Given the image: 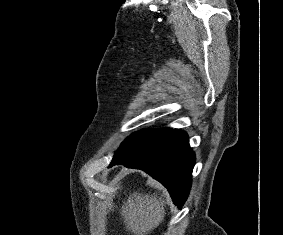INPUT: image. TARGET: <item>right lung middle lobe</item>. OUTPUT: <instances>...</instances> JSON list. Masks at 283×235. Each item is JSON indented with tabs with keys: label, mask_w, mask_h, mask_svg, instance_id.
<instances>
[{
	"label": "right lung middle lobe",
	"mask_w": 283,
	"mask_h": 235,
	"mask_svg": "<svg viewBox=\"0 0 283 235\" xmlns=\"http://www.w3.org/2000/svg\"><path fill=\"white\" fill-rule=\"evenodd\" d=\"M170 132H172L171 129H145L133 133L122 143L119 150L114 155L112 163L131 160L144 154L151 147L164 139Z\"/></svg>",
	"instance_id": "right-lung-middle-lobe-1"
}]
</instances>
